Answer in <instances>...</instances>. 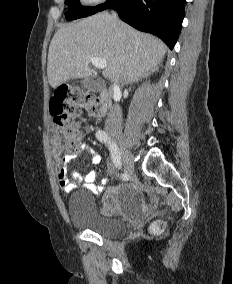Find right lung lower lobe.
Listing matches in <instances>:
<instances>
[{"mask_svg": "<svg viewBox=\"0 0 233 284\" xmlns=\"http://www.w3.org/2000/svg\"><path fill=\"white\" fill-rule=\"evenodd\" d=\"M184 3L185 0H106L97 12L113 8L123 21L157 35L173 49L184 18Z\"/></svg>", "mask_w": 233, "mask_h": 284, "instance_id": "right-lung-lower-lobe-1", "label": "right lung lower lobe"}]
</instances>
